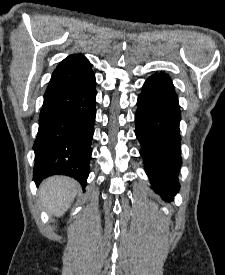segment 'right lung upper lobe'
Returning a JSON list of instances; mask_svg holds the SVG:
<instances>
[{
  "mask_svg": "<svg viewBox=\"0 0 225 275\" xmlns=\"http://www.w3.org/2000/svg\"><path fill=\"white\" fill-rule=\"evenodd\" d=\"M94 77L91 64L82 54L70 55L55 69L45 93L89 83Z\"/></svg>",
  "mask_w": 225,
  "mask_h": 275,
  "instance_id": "1",
  "label": "right lung upper lobe"
}]
</instances>
